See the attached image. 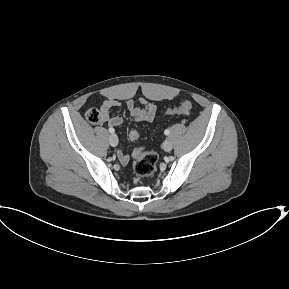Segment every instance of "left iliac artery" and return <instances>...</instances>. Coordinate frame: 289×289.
<instances>
[{
  "mask_svg": "<svg viewBox=\"0 0 289 289\" xmlns=\"http://www.w3.org/2000/svg\"><path fill=\"white\" fill-rule=\"evenodd\" d=\"M164 134H165V135H169V134H170V130H169V129H166V130L164 131Z\"/></svg>",
  "mask_w": 289,
  "mask_h": 289,
  "instance_id": "44dca946",
  "label": "left iliac artery"
}]
</instances>
